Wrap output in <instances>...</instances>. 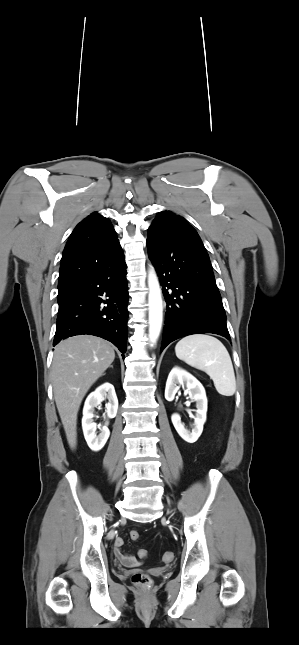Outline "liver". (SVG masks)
I'll return each instance as SVG.
<instances>
[{"label": "liver", "mask_w": 299, "mask_h": 645, "mask_svg": "<svg viewBox=\"0 0 299 645\" xmlns=\"http://www.w3.org/2000/svg\"><path fill=\"white\" fill-rule=\"evenodd\" d=\"M114 359L111 344L92 335L73 336L55 347L51 372L53 392L71 449H75L77 444L80 404Z\"/></svg>", "instance_id": "liver-1"}]
</instances>
